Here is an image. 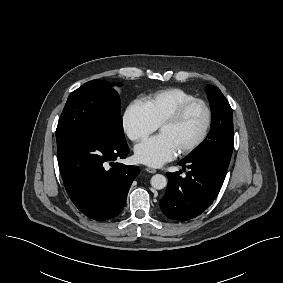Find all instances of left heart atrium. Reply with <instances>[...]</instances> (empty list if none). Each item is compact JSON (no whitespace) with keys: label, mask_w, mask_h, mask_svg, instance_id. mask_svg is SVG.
<instances>
[{"label":"left heart atrium","mask_w":283,"mask_h":283,"mask_svg":"<svg viewBox=\"0 0 283 283\" xmlns=\"http://www.w3.org/2000/svg\"><path fill=\"white\" fill-rule=\"evenodd\" d=\"M178 150L173 142L161 134L150 137L135 147L136 159L145 165L159 167L173 160Z\"/></svg>","instance_id":"39dd6f15"}]
</instances>
